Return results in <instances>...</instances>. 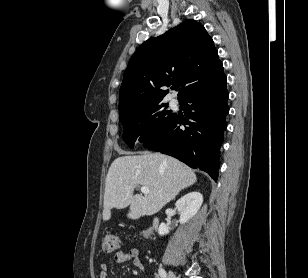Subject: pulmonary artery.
Wrapping results in <instances>:
<instances>
[{"label": "pulmonary artery", "mask_w": 308, "mask_h": 278, "mask_svg": "<svg viewBox=\"0 0 308 278\" xmlns=\"http://www.w3.org/2000/svg\"><path fill=\"white\" fill-rule=\"evenodd\" d=\"M170 102H171V104H172V105H175V104H176V100H175V99H173V98L171 99V101H170Z\"/></svg>", "instance_id": "1"}]
</instances>
